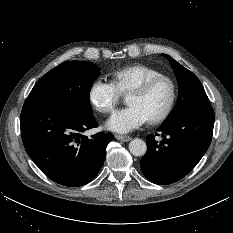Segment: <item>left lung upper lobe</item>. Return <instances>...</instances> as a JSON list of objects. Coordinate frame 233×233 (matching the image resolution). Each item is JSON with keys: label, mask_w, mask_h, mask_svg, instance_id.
Returning <instances> with one entry per match:
<instances>
[{"label": "left lung upper lobe", "mask_w": 233, "mask_h": 233, "mask_svg": "<svg viewBox=\"0 0 233 233\" xmlns=\"http://www.w3.org/2000/svg\"><path fill=\"white\" fill-rule=\"evenodd\" d=\"M162 55L169 60L179 86L177 103L163 124L171 123L193 110L210 108L209 99L196 75L187 70L169 55Z\"/></svg>", "instance_id": "left-lung-upper-lobe-1"}]
</instances>
